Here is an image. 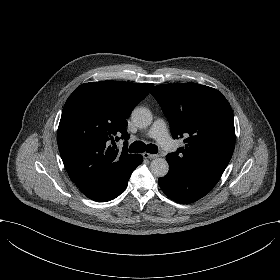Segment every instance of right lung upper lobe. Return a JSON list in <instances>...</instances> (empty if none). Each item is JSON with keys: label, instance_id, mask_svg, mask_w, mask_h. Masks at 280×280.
Returning <instances> with one entry per match:
<instances>
[{"label": "right lung upper lobe", "instance_id": "cb5924a9", "mask_svg": "<svg viewBox=\"0 0 280 280\" xmlns=\"http://www.w3.org/2000/svg\"><path fill=\"white\" fill-rule=\"evenodd\" d=\"M153 84L120 81L80 85L67 99L57 132L60 155L70 179L91 200L101 202L140 155L109 146L127 140L126 119Z\"/></svg>", "mask_w": 280, "mask_h": 280}]
</instances>
